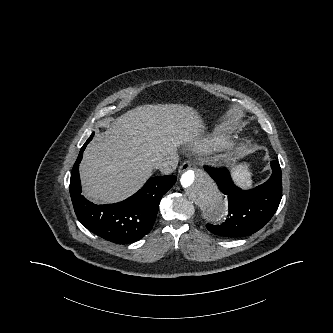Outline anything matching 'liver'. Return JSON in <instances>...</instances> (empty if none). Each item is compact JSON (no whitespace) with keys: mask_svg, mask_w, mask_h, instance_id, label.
Here are the masks:
<instances>
[{"mask_svg":"<svg viewBox=\"0 0 333 333\" xmlns=\"http://www.w3.org/2000/svg\"><path fill=\"white\" fill-rule=\"evenodd\" d=\"M204 130L199 113L181 104H147L112 119L84 151V196L102 204L130 197L151 176L155 163L176 157L178 145L197 139Z\"/></svg>","mask_w":333,"mask_h":333,"instance_id":"1","label":"liver"}]
</instances>
